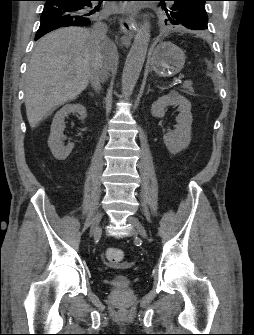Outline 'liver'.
Here are the masks:
<instances>
[{"mask_svg":"<svg viewBox=\"0 0 254 335\" xmlns=\"http://www.w3.org/2000/svg\"><path fill=\"white\" fill-rule=\"evenodd\" d=\"M97 57L111 69L117 48L108 39L95 42L86 28L57 29L38 42L25 83L26 114L31 128L86 89Z\"/></svg>","mask_w":254,"mask_h":335,"instance_id":"liver-1","label":"liver"}]
</instances>
